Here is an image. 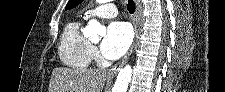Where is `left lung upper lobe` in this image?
<instances>
[{"mask_svg":"<svg viewBox=\"0 0 225 92\" xmlns=\"http://www.w3.org/2000/svg\"><path fill=\"white\" fill-rule=\"evenodd\" d=\"M83 0H69L67 5H66V10L68 9H72L74 7H76L77 5H79Z\"/></svg>","mask_w":225,"mask_h":92,"instance_id":"1","label":"left lung upper lobe"}]
</instances>
